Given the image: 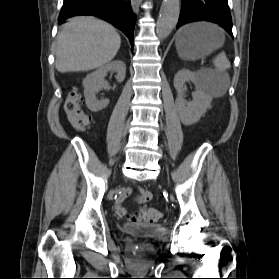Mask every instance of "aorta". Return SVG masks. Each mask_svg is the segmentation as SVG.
I'll return each mask as SVG.
<instances>
[{
    "mask_svg": "<svg viewBox=\"0 0 279 279\" xmlns=\"http://www.w3.org/2000/svg\"><path fill=\"white\" fill-rule=\"evenodd\" d=\"M180 13V0H163L156 32L160 39L168 37L175 28Z\"/></svg>",
    "mask_w": 279,
    "mask_h": 279,
    "instance_id": "762f6f07",
    "label": "aorta"
}]
</instances>
